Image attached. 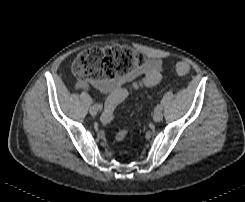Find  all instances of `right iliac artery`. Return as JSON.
<instances>
[{
	"mask_svg": "<svg viewBox=\"0 0 245 202\" xmlns=\"http://www.w3.org/2000/svg\"><path fill=\"white\" fill-rule=\"evenodd\" d=\"M96 106L99 108V110H102V105L100 103H96Z\"/></svg>",
	"mask_w": 245,
	"mask_h": 202,
	"instance_id": "obj_1",
	"label": "right iliac artery"
}]
</instances>
